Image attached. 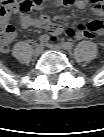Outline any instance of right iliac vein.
Wrapping results in <instances>:
<instances>
[{"label": "right iliac vein", "mask_w": 104, "mask_h": 137, "mask_svg": "<svg viewBox=\"0 0 104 137\" xmlns=\"http://www.w3.org/2000/svg\"><path fill=\"white\" fill-rule=\"evenodd\" d=\"M42 51H43L42 45H37V46L35 47V49H34V55H35V56H38V55H40V54L42 53Z\"/></svg>", "instance_id": "63e3f726"}]
</instances>
